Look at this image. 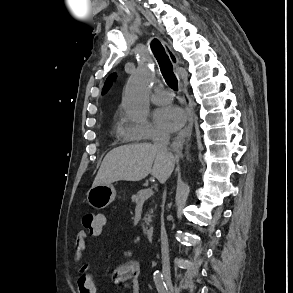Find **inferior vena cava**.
Masks as SVG:
<instances>
[{
	"mask_svg": "<svg viewBox=\"0 0 293 293\" xmlns=\"http://www.w3.org/2000/svg\"><path fill=\"white\" fill-rule=\"evenodd\" d=\"M170 136L167 133H158L154 139V146L158 149V151L168 157L171 156V153L168 151ZM165 182V181H164ZM161 252H162V267L164 272L170 271V263H169V245L168 238L164 226V221H162L161 226Z\"/></svg>",
	"mask_w": 293,
	"mask_h": 293,
	"instance_id": "obj_1",
	"label": "inferior vena cava"
}]
</instances>
